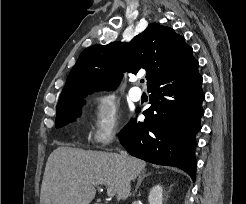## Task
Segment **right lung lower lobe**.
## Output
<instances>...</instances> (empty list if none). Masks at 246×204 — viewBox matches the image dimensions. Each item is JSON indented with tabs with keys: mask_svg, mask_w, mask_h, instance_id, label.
Wrapping results in <instances>:
<instances>
[{
	"mask_svg": "<svg viewBox=\"0 0 246 204\" xmlns=\"http://www.w3.org/2000/svg\"><path fill=\"white\" fill-rule=\"evenodd\" d=\"M201 84L197 61L150 84L145 120H132L120 132L125 149L145 161L178 167L195 180V135L204 114Z\"/></svg>",
	"mask_w": 246,
	"mask_h": 204,
	"instance_id": "obj_1",
	"label": "right lung lower lobe"
}]
</instances>
